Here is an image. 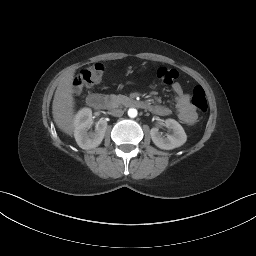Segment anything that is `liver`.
<instances>
[{"mask_svg": "<svg viewBox=\"0 0 256 256\" xmlns=\"http://www.w3.org/2000/svg\"><path fill=\"white\" fill-rule=\"evenodd\" d=\"M74 73L72 70L61 78L52 103L54 122L61 131L70 136L74 132Z\"/></svg>", "mask_w": 256, "mask_h": 256, "instance_id": "obj_1", "label": "liver"}]
</instances>
